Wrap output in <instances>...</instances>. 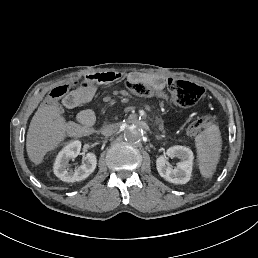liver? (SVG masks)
Here are the masks:
<instances>
[{"instance_id": "1", "label": "liver", "mask_w": 258, "mask_h": 258, "mask_svg": "<svg viewBox=\"0 0 258 258\" xmlns=\"http://www.w3.org/2000/svg\"><path fill=\"white\" fill-rule=\"evenodd\" d=\"M72 122L66 123L58 104L41 106L33 116L27 133L29 159L38 165L48 151L54 150L66 137Z\"/></svg>"}]
</instances>
